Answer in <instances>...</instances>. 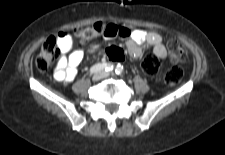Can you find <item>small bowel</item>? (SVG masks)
I'll use <instances>...</instances> for the list:
<instances>
[{
    "label": "small bowel",
    "instance_id": "obj_1",
    "mask_svg": "<svg viewBox=\"0 0 225 155\" xmlns=\"http://www.w3.org/2000/svg\"><path fill=\"white\" fill-rule=\"evenodd\" d=\"M111 31L104 34L106 39H126L128 53L133 58L142 55V46L147 44L152 47L154 55L165 61L167 50L163 44L162 36L154 31L143 29H129L126 27L108 24ZM76 43L75 36L67 31H60L56 35V44L60 49V58L54 69V78L57 81L72 82L77 77V67L83 59V51L73 49Z\"/></svg>",
    "mask_w": 225,
    "mask_h": 155
}]
</instances>
